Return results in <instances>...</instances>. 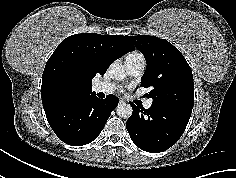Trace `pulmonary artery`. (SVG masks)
<instances>
[{
  "mask_svg": "<svg viewBox=\"0 0 236 178\" xmlns=\"http://www.w3.org/2000/svg\"><path fill=\"white\" fill-rule=\"evenodd\" d=\"M125 67L128 75L132 77L140 76L146 67V61L143 57L127 56L125 59ZM115 90V85L111 83H98L93 86V91L99 93H111ZM152 99L144 102V108L149 109L152 107Z\"/></svg>",
  "mask_w": 236,
  "mask_h": 178,
  "instance_id": "obj_1",
  "label": "pulmonary artery"
}]
</instances>
